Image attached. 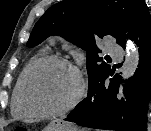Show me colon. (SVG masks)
Masks as SVG:
<instances>
[{
	"mask_svg": "<svg viewBox=\"0 0 151 131\" xmlns=\"http://www.w3.org/2000/svg\"><path fill=\"white\" fill-rule=\"evenodd\" d=\"M14 131H29V130L25 127H17Z\"/></svg>",
	"mask_w": 151,
	"mask_h": 131,
	"instance_id": "obj_1",
	"label": "colon"
}]
</instances>
